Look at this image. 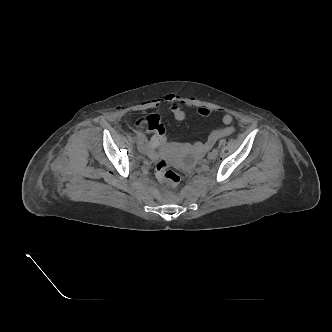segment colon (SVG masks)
Returning a JSON list of instances; mask_svg holds the SVG:
<instances>
[{
  "label": "colon",
  "mask_w": 332,
  "mask_h": 332,
  "mask_svg": "<svg viewBox=\"0 0 332 332\" xmlns=\"http://www.w3.org/2000/svg\"><path fill=\"white\" fill-rule=\"evenodd\" d=\"M145 124L147 125L148 130L153 133L157 142L160 145H164L166 142L165 128L161 123L159 116L155 114L148 116ZM155 174L158 181L168 187H177L181 181L179 174L172 170L168 162L164 159L157 163Z\"/></svg>",
  "instance_id": "colon-1"
}]
</instances>
